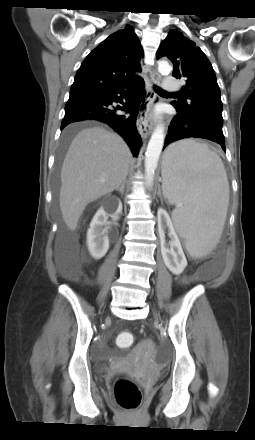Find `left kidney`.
Wrapping results in <instances>:
<instances>
[{
    "instance_id": "1",
    "label": "left kidney",
    "mask_w": 255,
    "mask_h": 440,
    "mask_svg": "<svg viewBox=\"0 0 255 440\" xmlns=\"http://www.w3.org/2000/svg\"><path fill=\"white\" fill-rule=\"evenodd\" d=\"M157 216L163 261L173 274L179 275L187 266V260L181 243L168 213L164 209H159ZM165 228H168L169 230V237L171 239L169 244L165 241Z\"/></svg>"
}]
</instances>
